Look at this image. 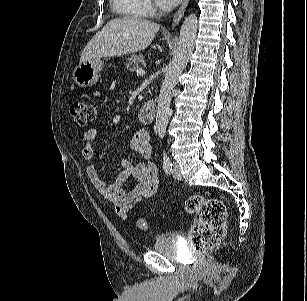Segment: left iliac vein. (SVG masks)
<instances>
[{
  "label": "left iliac vein",
  "instance_id": "4c4485c4",
  "mask_svg": "<svg viewBox=\"0 0 307 301\" xmlns=\"http://www.w3.org/2000/svg\"><path fill=\"white\" fill-rule=\"evenodd\" d=\"M172 174L175 179L182 180L180 165L177 162L172 164Z\"/></svg>",
  "mask_w": 307,
  "mask_h": 301
}]
</instances>
